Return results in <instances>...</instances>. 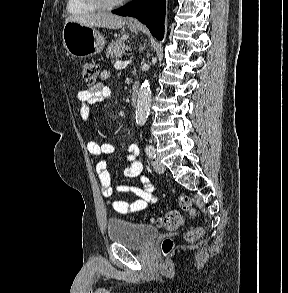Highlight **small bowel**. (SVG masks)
Returning a JSON list of instances; mask_svg holds the SVG:
<instances>
[{
  "instance_id": "c3829d8e",
  "label": "small bowel",
  "mask_w": 288,
  "mask_h": 293,
  "mask_svg": "<svg viewBox=\"0 0 288 293\" xmlns=\"http://www.w3.org/2000/svg\"><path fill=\"white\" fill-rule=\"evenodd\" d=\"M110 73L104 70L101 73L102 80L109 77ZM111 95L109 87L101 82L94 87L85 88L78 92V100L80 106V116L83 120H88L90 116V106L94 104L103 103ZM87 149L93 156H107L116 151L115 145L111 143H97L89 141ZM139 148L136 144H130L127 147V161L128 165L125 168V175L130 178H138L140 186H133L127 184H120L113 186L111 184V176L107 167V159L103 157L96 164V172L101 183V192L106 199L109 207L120 214L137 213L144 210L148 205H153L157 201L154 192V186L150 178L143 172V164L138 159ZM134 194L137 199L131 203L123 200L114 199L115 194Z\"/></svg>"
}]
</instances>
